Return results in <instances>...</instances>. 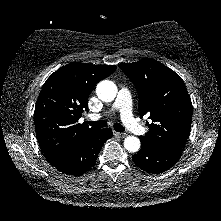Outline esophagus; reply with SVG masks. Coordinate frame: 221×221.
I'll return each instance as SVG.
<instances>
[{
	"label": "esophagus",
	"mask_w": 221,
	"mask_h": 221,
	"mask_svg": "<svg viewBox=\"0 0 221 221\" xmlns=\"http://www.w3.org/2000/svg\"><path fill=\"white\" fill-rule=\"evenodd\" d=\"M113 134H114L115 136L122 137V138H124V137L127 136L126 133H121V132H116V131H113Z\"/></svg>",
	"instance_id": "34e87169"
}]
</instances>
